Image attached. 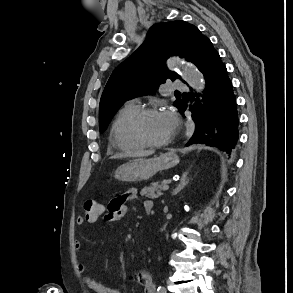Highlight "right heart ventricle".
I'll return each mask as SVG.
<instances>
[{
  "instance_id": "1",
  "label": "right heart ventricle",
  "mask_w": 293,
  "mask_h": 293,
  "mask_svg": "<svg viewBox=\"0 0 293 293\" xmlns=\"http://www.w3.org/2000/svg\"><path fill=\"white\" fill-rule=\"evenodd\" d=\"M139 110L140 107L137 104L127 103L118 111L112 122L110 143L119 151L136 153L146 147L134 136L132 131L133 119Z\"/></svg>"
}]
</instances>
